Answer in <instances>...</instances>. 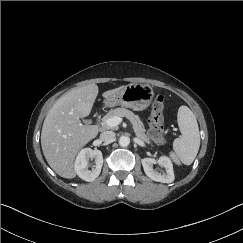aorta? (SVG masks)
Wrapping results in <instances>:
<instances>
[{
  "instance_id": "1",
  "label": "aorta",
  "mask_w": 243,
  "mask_h": 243,
  "mask_svg": "<svg viewBox=\"0 0 243 243\" xmlns=\"http://www.w3.org/2000/svg\"><path fill=\"white\" fill-rule=\"evenodd\" d=\"M130 144V138L128 136H121L119 138V145L121 147H126Z\"/></svg>"
}]
</instances>
